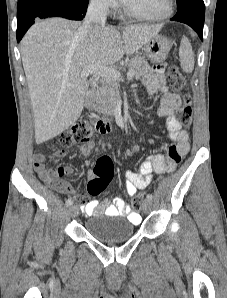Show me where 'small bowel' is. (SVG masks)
Wrapping results in <instances>:
<instances>
[{"mask_svg": "<svg viewBox=\"0 0 227 298\" xmlns=\"http://www.w3.org/2000/svg\"><path fill=\"white\" fill-rule=\"evenodd\" d=\"M164 68H172V63H156V67L147 74L144 85L149 94L162 91V99L157 109L159 117L165 119L167 137L174 142L167 155L153 154L146 157L140 166L139 172L128 170L125 173V188L129 195H134L137 190L145 189L151 182L153 174H163L179 167L180 160L189 151V135L187 130L175 117V113L181 107V98L164 87ZM95 148L93 141H88L79 147L83 156H89ZM55 156L62 158L66 156L64 149L57 150ZM33 165L40 177L51 184L57 191L67 194L80 203L81 210L87 216H121L132 222H139L140 215L134 212L121 198H115L112 203L107 200H85V196L77 193L72 186L61 178L71 175L74 169L71 165L61 166L56 169H48L45 165V156L40 153L33 155ZM93 172L88 170V176Z\"/></svg>", "mask_w": 227, "mask_h": 298, "instance_id": "small-bowel-1", "label": "small bowel"}]
</instances>
